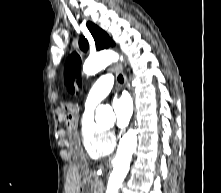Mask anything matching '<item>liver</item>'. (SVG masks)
Instances as JSON below:
<instances>
[{"label": "liver", "mask_w": 221, "mask_h": 193, "mask_svg": "<svg viewBox=\"0 0 221 193\" xmlns=\"http://www.w3.org/2000/svg\"><path fill=\"white\" fill-rule=\"evenodd\" d=\"M81 174H79L78 170H74L71 174V181L69 186V193H78L81 186Z\"/></svg>", "instance_id": "obj_1"}]
</instances>
